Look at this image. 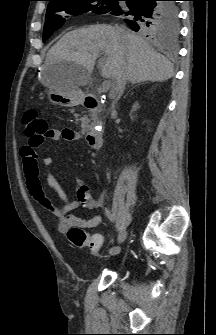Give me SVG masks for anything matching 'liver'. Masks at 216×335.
Masks as SVG:
<instances>
[{
    "label": "liver",
    "instance_id": "liver-1",
    "mask_svg": "<svg viewBox=\"0 0 216 335\" xmlns=\"http://www.w3.org/2000/svg\"><path fill=\"white\" fill-rule=\"evenodd\" d=\"M103 53L99 69L103 78L112 80L117 91L123 76L131 83L162 82L170 79L174 68L170 61L152 48L143 38L105 24L91 25L66 33L48 51L44 69L51 70L63 63L78 68L65 70V77L75 89L89 83L96 59Z\"/></svg>",
    "mask_w": 216,
    "mask_h": 335
}]
</instances>
